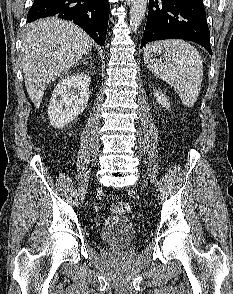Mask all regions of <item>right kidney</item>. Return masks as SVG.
Here are the masks:
<instances>
[{"label": "right kidney", "instance_id": "1", "mask_svg": "<svg viewBox=\"0 0 233 294\" xmlns=\"http://www.w3.org/2000/svg\"><path fill=\"white\" fill-rule=\"evenodd\" d=\"M90 76L76 72L64 77L55 87L48 106L50 124L63 128L75 120L87 107Z\"/></svg>", "mask_w": 233, "mask_h": 294}]
</instances>
